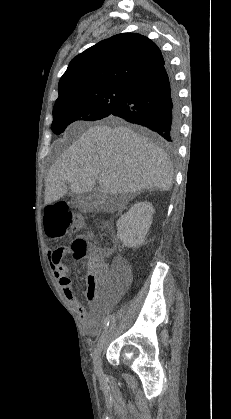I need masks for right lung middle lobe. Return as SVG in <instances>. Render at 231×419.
Wrapping results in <instances>:
<instances>
[{"mask_svg": "<svg viewBox=\"0 0 231 419\" xmlns=\"http://www.w3.org/2000/svg\"><path fill=\"white\" fill-rule=\"evenodd\" d=\"M129 91V87L108 86L75 92L55 102L51 129L59 135L74 121L105 118L124 101Z\"/></svg>", "mask_w": 231, "mask_h": 419, "instance_id": "right-lung-middle-lobe-1", "label": "right lung middle lobe"}]
</instances>
